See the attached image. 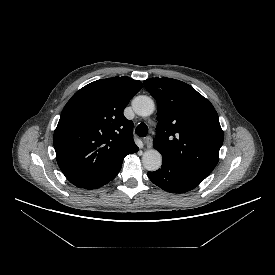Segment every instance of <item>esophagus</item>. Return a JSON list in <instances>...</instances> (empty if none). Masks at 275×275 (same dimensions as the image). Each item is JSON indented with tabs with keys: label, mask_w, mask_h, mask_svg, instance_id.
Here are the masks:
<instances>
[{
	"label": "esophagus",
	"mask_w": 275,
	"mask_h": 275,
	"mask_svg": "<svg viewBox=\"0 0 275 275\" xmlns=\"http://www.w3.org/2000/svg\"><path fill=\"white\" fill-rule=\"evenodd\" d=\"M144 144L148 149L152 148V138L150 136L146 137Z\"/></svg>",
	"instance_id": "esophagus-1"
}]
</instances>
